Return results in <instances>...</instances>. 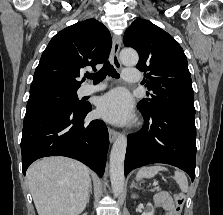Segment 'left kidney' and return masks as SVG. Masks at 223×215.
Instances as JSON below:
<instances>
[{"label":"left kidney","mask_w":223,"mask_h":215,"mask_svg":"<svg viewBox=\"0 0 223 215\" xmlns=\"http://www.w3.org/2000/svg\"><path fill=\"white\" fill-rule=\"evenodd\" d=\"M132 197H137V195H132ZM147 205H152V203H147ZM143 215H153V211H146Z\"/></svg>","instance_id":"5707ae66"}]
</instances>
